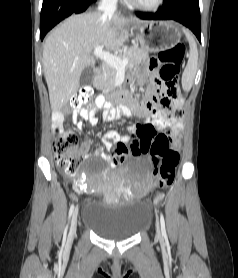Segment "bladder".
Returning a JSON list of instances; mask_svg holds the SVG:
<instances>
[{
  "label": "bladder",
  "instance_id": "1",
  "mask_svg": "<svg viewBox=\"0 0 238 278\" xmlns=\"http://www.w3.org/2000/svg\"><path fill=\"white\" fill-rule=\"evenodd\" d=\"M94 200V199H93ZM152 219L150 204L138 200L107 204L94 200L85 202L81 211L83 227L104 240L123 241L143 232Z\"/></svg>",
  "mask_w": 238,
  "mask_h": 278
}]
</instances>
